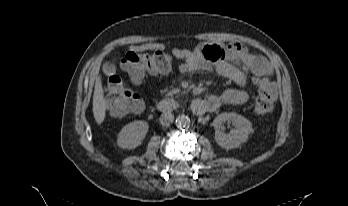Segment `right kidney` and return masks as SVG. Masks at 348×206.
Here are the masks:
<instances>
[{
  "label": "right kidney",
  "mask_w": 348,
  "mask_h": 206,
  "mask_svg": "<svg viewBox=\"0 0 348 206\" xmlns=\"http://www.w3.org/2000/svg\"><path fill=\"white\" fill-rule=\"evenodd\" d=\"M147 122L137 120L125 125L118 134L117 143L124 149H134L139 146L148 132Z\"/></svg>",
  "instance_id": "obj_1"
}]
</instances>
